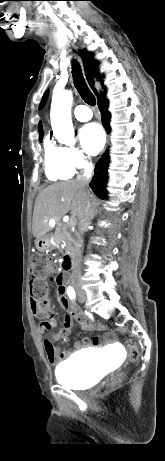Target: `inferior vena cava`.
I'll return each instance as SVG.
<instances>
[{
    "mask_svg": "<svg viewBox=\"0 0 165 461\" xmlns=\"http://www.w3.org/2000/svg\"><path fill=\"white\" fill-rule=\"evenodd\" d=\"M92 170H93V164L91 162H88L85 164L84 173L77 177V182L80 184V186L82 187L85 193L84 208H83L81 216L79 217V222H78V230L80 234H83L84 231L87 229L94 215V212L91 208L90 191L88 189V184L90 181ZM80 275H81L80 259H79V256H77L73 264L72 279L76 280L80 277Z\"/></svg>",
    "mask_w": 165,
    "mask_h": 461,
    "instance_id": "obj_1",
    "label": "inferior vena cava"
}]
</instances>
